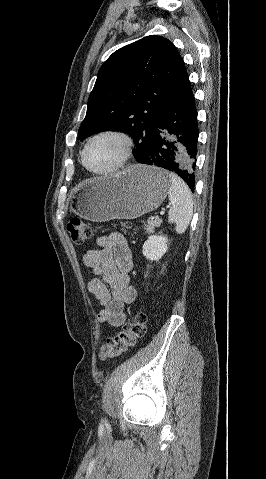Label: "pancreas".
Masks as SVG:
<instances>
[{"mask_svg":"<svg viewBox=\"0 0 266 479\" xmlns=\"http://www.w3.org/2000/svg\"><path fill=\"white\" fill-rule=\"evenodd\" d=\"M162 223V220L155 218L154 220H147V224H144L145 233L154 232L155 228H158Z\"/></svg>","mask_w":266,"mask_h":479,"instance_id":"pancreas-1","label":"pancreas"}]
</instances>
